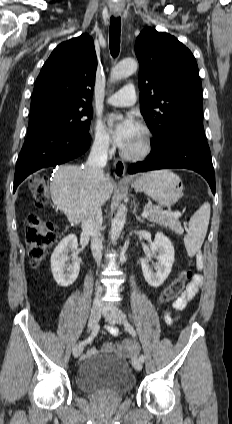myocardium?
I'll use <instances>...</instances> for the list:
<instances>
[{
    "instance_id": "f54148a6",
    "label": "myocardium",
    "mask_w": 232,
    "mask_h": 424,
    "mask_svg": "<svg viewBox=\"0 0 232 424\" xmlns=\"http://www.w3.org/2000/svg\"><path fill=\"white\" fill-rule=\"evenodd\" d=\"M142 132V144L137 150H127L123 148L121 150V155L127 160H142L147 157L153 148V135L150 129L141 124L139 126Z\"/></svg>"
}]
</instances>
